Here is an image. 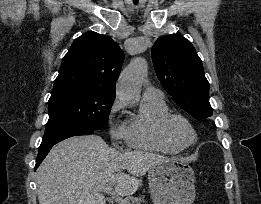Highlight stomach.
Wrapping results in <instances>:
<instances>
[{
  "mask_svg": "<svg viewBox=\"0 0 261 204\" xmlns=\"http://www.w3.org/2000/svg\"><path fill=\"white\" fill-rule=\"evenodd\" d=\"M150 194L154 204H192L195 174L181 159L163 161L148 170Z\"/></svg>",
  "mask_w": 261,
  "mask_h": 204,
  "instance_id": "stomach-1",
  "label": "stomach"
}]
</instances>
